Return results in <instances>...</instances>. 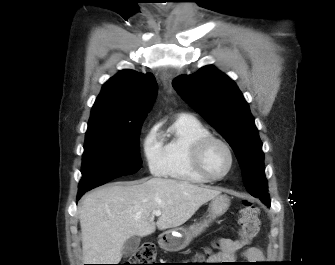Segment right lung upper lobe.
<instances>
[{"instance_id": "cb5924a9", "label": "right lung upper lobe", "mask_w": 335, "mask_h": 265, "mask_svg": "<svg viewBox=\"0 0 335 265\" xmlns=\"http://www.w3.org/2000/svg\"><path fill=\"white\" fill-rule=\"evenodd\" d=\"M156 92L157 83L152 74L120 71L103 85L92 107L86 134L120 133L143 123Z\"/></svg>"}]
</instances>
